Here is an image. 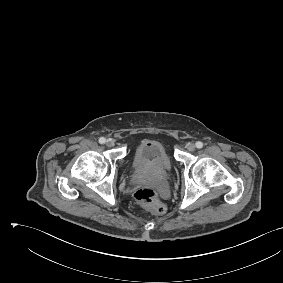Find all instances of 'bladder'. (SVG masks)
<instances>
[{"mask_svg":"<svg viewBox=\"0 0 283 283\" xmlns=\"http://www.w3.org/2000/svg\"><path fill=\"white\" fill-rule=\"evenodd\" d=\"M132 166L137 174L162 176L171 170L172 162L163 143L157 140H141L134 148Z\"/></svg>","mask_w":283,"mask_h":283,"instance_id":"31cf9c89","label":"bladder"}]
</instances>
